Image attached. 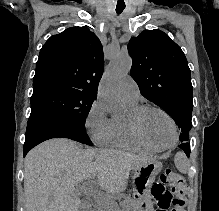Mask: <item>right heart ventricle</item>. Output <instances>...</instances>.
<instances>
[{
    "instance_id": "right-heart-ventricle-1",
    "label": "right heart ventricle",
    "mask_w": 219,
    "mask_h": 211,
    "mask_svg": "<svg viewBox=\"0 0 219 211\" xmlns=\"http://www.w3.org/2000/svg\"><path fill=\"white\" fill-rule=\"evenodd\" d=\"M130 110L138 106L137 103H126ZM113 146L135 152L152 153L155 150L141 143L131 131L127 117H113V134L110 142Z\"/></svg>"
}]
</instances>
